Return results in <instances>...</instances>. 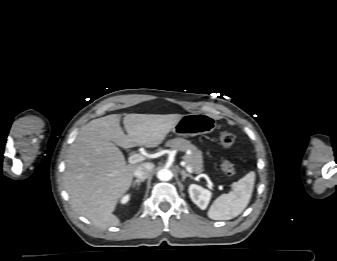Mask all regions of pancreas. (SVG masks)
<instances>
[{
	"instance_id": "pancreas-1",
	"label": "pancreas",
	"mask_w": 337,
	"mask_h": 261,
	"mask_svg": "<svg viewBox=\"0 0 337 261\" xmlns=\"http://www.w3.org/2000/svg\"><path fill=\"white\" fill-rule=\"evenodd\" d=\"M166 145L180 151H190V154L183 156L186 165L190 166L195 173H202L204 171L202 152L192 145L190 141L183 138H175L169 140Z\"/></svg>"
}]
</instances>
